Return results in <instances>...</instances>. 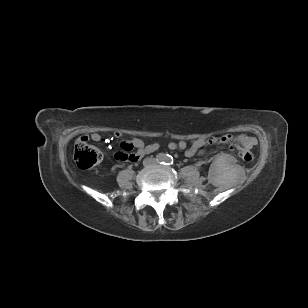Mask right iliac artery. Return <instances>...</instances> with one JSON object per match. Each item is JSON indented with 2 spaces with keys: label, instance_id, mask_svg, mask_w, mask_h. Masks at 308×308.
<instances>
[{
  "label": "right iliac artery",
  "instance_id": "82829eb1",
  "mask_svg": "<svg viewBox=\"0 0 308 308\" xmlns=\"http://www.w3.org/2000/svg\"><path fill=\"white\" fill-rule=\"evenodd\" d=\"M166 157L163 154L157 155V161L163 163L165 161Z\"/></svg>",
  "mask_w": 308,
  "mask_h": 308
}]
</instances>
